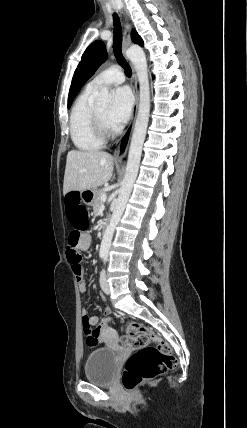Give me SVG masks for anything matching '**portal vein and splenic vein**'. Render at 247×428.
<instances>
[{
  "instance_id": "1",
  "label": "portal vein and splenic vein",
  "mask_w": 247,
  "mask_h": 428,
  "mask_svg": "<svg viewBox=\"0 0 247 428\" xmlns=\"http://www.w3.org/2000/svg\"><path fill=\"white\" fill-rule=\"evenodd\" d=\"M106 199H107L106 194H103V195L101 196V201H102V202H105V201H106Z\"/></svg>"
}]
</instances>
